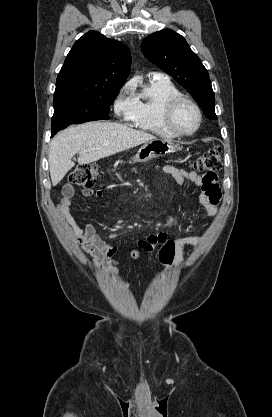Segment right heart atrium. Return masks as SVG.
Masks as SVG:
<instances>
[{
  "label": "right heart atrium",
  "mask_w": 272,
  "mask_h": 417,
  "mask_svg": "<svg viewBox=\"0 0 272 417\" xmlns=\"http://www.w3.org/2000/svg\"><path fill=\"white\" fill-rule=\"evenodd\" d=\"M130 90L131 84H125L113 101V110L115 115L124 120L130 119L134 108L133 98L129 96Z\"/></svg>",
  "instance_id": "right-heart-atrium-1"
}]
</instances>
